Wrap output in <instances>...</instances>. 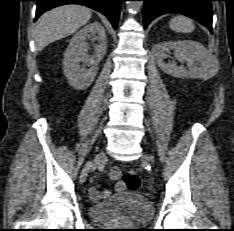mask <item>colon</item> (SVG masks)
Returning a JSON list of instances; mask_svg holds the SVG:
<instances>
[{
  "instance_id": "colon-1",
  "label": "colon",
  "mask_w": 234,
  "mask_h": 231,
  "mask_svg": "<svg viewBox=\"0 0 234 231\" xmlns=\"http://www.w3.org/2000/svg\"><path fill=\"white\" fill-rule=\"evenodd\" d=\"M110 178L112 180H118L121 178L126 189L129 191H137L141 184L140 177L133 170L121 173L118 169H113L110 173Z\"/></svg>"
}]
</instances>
